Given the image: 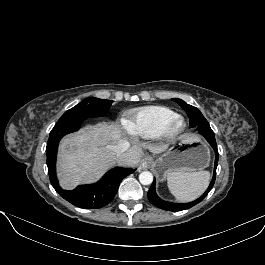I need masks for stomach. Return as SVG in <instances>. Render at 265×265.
Segmentation results:
<instances>
[{
	"label": "stomach",
	"mask_w": 265,
	"mask_h": 265,
	"mask_svg": "<svg viewBox=\"0 0 265 265\" xmlns=\"http://www.w3.org/2000/svg\"><path fill=\"white\" fill-rule=\"evenodd\" d=\"M210 161V151L202 140L189 137L170 149L161 157L156 170L161 176L168 175L172 171L195 172L208 166Z\"/></svg>",
	"instance_id": "1"
}]
</instances>
